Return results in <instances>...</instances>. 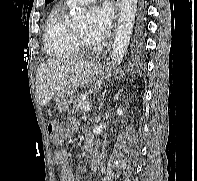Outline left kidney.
Wrapping results in <instances>:
<instances>
[{"instance_id":"left-kidney-1","label":"left kidney","mask_w":197,"mask_h":181,"mask_svg":"<svg viewBox=\"0 0 197 181\" xmlns=\"http://www.w3.org/2000/svg\"><path fill=\"white\" fill-rule=\"evenodd\" d=\"M117 114H118V115H120V116H121V115H123V110H122V109H120V108H119V109H117Z\"/></svg>"}]
</instances>
